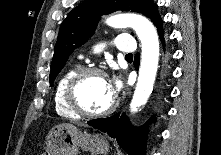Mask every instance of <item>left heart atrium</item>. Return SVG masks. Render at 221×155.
<instances>
[{"mask_svg": "<svg viewBox=\"0 0 221 155\" xmlns=\"http://www.w3.org/2000/svg\"><path fill=\"white\" fill-rule=\"evenodd\" d=\"M110 85L113 91L116 92V90L120 88L121 82L117 78H115L114 80L110 81Z\"/></svg>", "mask_w": 221, "mask_h": 155, "instance_id": "1", "label": "left heart atrium"}]
</instances>
